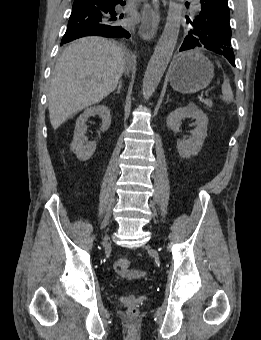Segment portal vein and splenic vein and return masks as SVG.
<instances>
[{"label":"portal vein and splenic vein","instance_id":"18ae733b","mask_svg":"<svg viewBox=\"0 0 261 340\" xmlns=\"http://www.w3.org/2000/svg\"><path fill=\"white\" fill-rule=\"evenodd\" d=\"M205 96L207 97L208 96V93H205ZM200 100H204L203 97H200Z\"/></svg>","mask_w":261,"mask_h":340}]
</instances>
